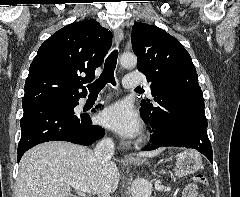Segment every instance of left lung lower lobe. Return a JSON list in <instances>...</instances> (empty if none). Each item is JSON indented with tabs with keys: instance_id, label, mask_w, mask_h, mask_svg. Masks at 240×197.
<instances>
[{
	"instance_id": "obj_1",
	"label": "left lung lower lobe",
	"mask_w": 240,
	"mask_h": 197,
	"mask_svg": "<svg viewBox=\"0 0 240 197\" xmlns=\"http://www.w3.org/2000/svg\"><path fill=\"white\" fill-rule=\"evenodd\" d=\"M204 99L182 96L173 106H166L142 118L152 127L153 144L146 150L175 146L198 150L213 163V153L207 135Z\"/></svg>"
}]
</instances>
